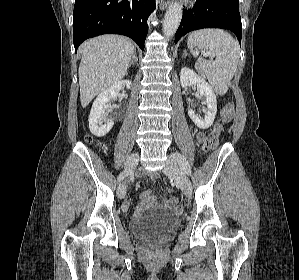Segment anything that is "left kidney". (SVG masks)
<instances>
[{"instance_id":"1","label":"left kidney","mask_w":299,"mask_h":280,"mask_svg":"<svg viewBox=\"0 0 299 280\" xmlns=\"http://www.w3.org/2000/svg\"><path fill=\"white\" fill-rule=\"evenodd\" d=\"M180 83L182 87L196 85L198 93L206 97L207 111L205 112L204 118L201 119L198 117L192 109L188 110V115L200 129L209 128L213 124L217 113V100L212 87L203 77L197 75L193 70L187 67L181 69Z\"/></svg>"}]
</instances>
